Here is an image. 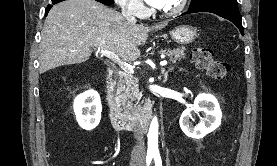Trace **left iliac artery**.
Segmentation results:
<instances>
[{
    "label": "left iliac artery",
    "mask_w": 277,
    "mask_h": 166,
    "mask_svg": "<svg viewBox=\"0 0 277 166\" xmlns=\"http://www.w3.org/2000/svg\"><path fill=\"white\" fill-rule=\"evenodd\" d=\"M155 166H162V160L160 154L157 152L154 154Z\"/></svg>",
    "instance_id": "44dca946"
}]
</instances>
